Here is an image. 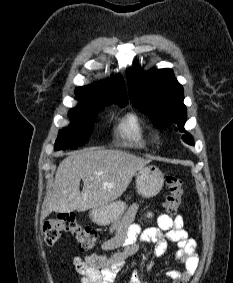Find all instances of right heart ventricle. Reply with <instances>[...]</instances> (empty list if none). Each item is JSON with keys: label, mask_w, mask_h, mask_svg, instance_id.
Listing matches in <instances>:
<instances>
[{"label": "right heart ventricle", "mask_w": 233, "mask_h": 283, "mask_svg": "<svg viewBox=\"0 0 233 283\" xmlns=\"http://www.w3.org/2000/svg\"><path fill=\"white\" fill-rule=\"evenodd\" d=\"M117 133L129 146L144 149L150 143V133L135 114H129L119 124Z\"/></svg>", "instance_id": "right-heart-ventricle-1"}]
</instances>
